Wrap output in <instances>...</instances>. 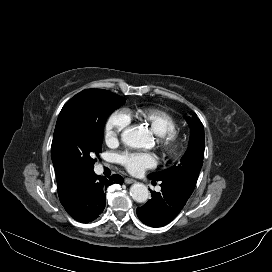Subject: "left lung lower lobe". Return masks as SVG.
I'll return each mask as SVG.
<instances>
[{
	"mask_svg": "<svg viewBox=\"0 0 272 272\" xmlns=\"http://www.w3.org/2000/svg\"><path fill=\"white\" fill-rule=\"evenodd\" d=\"M160 186L161 192H153L152 198L136 210L139 219L151 227H161L172 221L192 194L171 182L161 181Z\"/></svg>",
	"mask_w": 272,
	"mask_h": 272,
	"instance_id": "left-lung-lower-lobe-1",
	"label": "left lung lower lobe"
}]
</instances>
